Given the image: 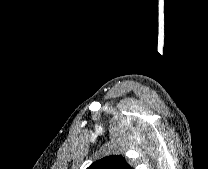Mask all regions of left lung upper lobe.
Wrapping results in <instances>:
<instances>
[{
	"label": "left lung upper lobe",
	"instance_id": "1",
	"mask_svg": "<svg viewBox=\"0 0 208 169\" xmlns=\"http://www.w3.org/2000/svg\"><path fill=\"white\" fill-rule=\"evenodd\" d=\"M87 169H132L121 155L106 156L92 163Z\"/></svg>",
	"mask_w": 208,
	"mask_h": 169
}]
</instances>
